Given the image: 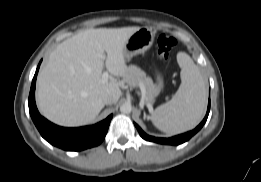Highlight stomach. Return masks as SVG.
<instances>
[{
    "label": "stomach",
    "instance_id": "stomach-1",
    "mask_svg": "<svg viewBox=\"0 0 261 182\" xmlns=\"http://www.w3.org/2000/svg\"><path fill=\"white\" fill-rule=\"evenodd\" d=\"M154 32L148 27L140 28L138 31L134 32L127 42L125 43L123 54L126 59L145 53L150 49L154 42ZM158 90L163 87V81L160 75L157 76Z\"/></svg>",
    "mask_w": 261,
    "mask_h": 182
}]
</instances>
